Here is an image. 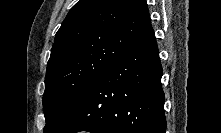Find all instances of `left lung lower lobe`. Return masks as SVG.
<instances>
[{
    "label": "left lung lower lobe",
    "instance_id": "0a47b994",
    "mask_svg": "<svg viewBox=\"0 0 221 133\" xmlns=\"http://www.w3.org/2000/svg\"><path fill=\"white\" fill-rule=\"evenodd\" d=\"M161 77L152 29L95 79L56 133H165Z\"/></svg>",
    "mask_w": 221,
    "mask_h": 133
}]
</instances>
